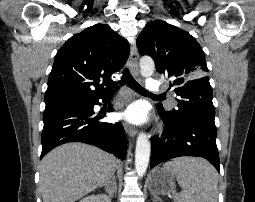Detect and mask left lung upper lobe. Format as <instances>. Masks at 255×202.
<instances>
[{"instance_id": "5c2ea615", "label": "left lung upper lobe", "mask_w": 255, "mask_h": 202, "mask_svg": "<svg viewBox=\"0 0 255 202\" xmlns=\"http://www.w3.org/2000/svg\"><path fill=\"white\" fill-rule=\"evenodd\" d=\"M141 55L154 59L160 74L170 78V88L178 96V109H157L165 117L178 121L201 118L214 123L215 109L205 54L198 42L186 31L162 20L148 23L137 39Z\"/></svg>"}]
</instances>
